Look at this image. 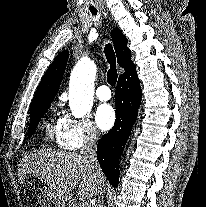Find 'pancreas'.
Listing matches in <instances>:
<instances>
[{"label": "pancreas", "mask_w": 206, "mask_h": 207, "mask_svg": "<svg viewBox=\"0 0 206 207\" xmlns=\"http://www.w3.org/2000/svg\"><path fill=\"white\" fill-rule=\"evenodd\" d=\"M72 207H88V206H84L83 203L79 202H74Z\"/></svg>", "instance_id": "cf45deb5"}]
</instances>
